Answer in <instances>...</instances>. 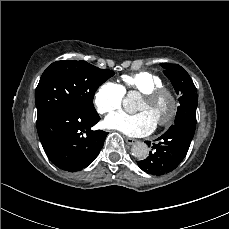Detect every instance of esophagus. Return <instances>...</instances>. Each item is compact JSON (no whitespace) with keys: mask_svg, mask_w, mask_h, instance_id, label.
<instances>
[{"mask_svg":"<svg viewBox=\"0 0 229 229\" xmlns=\"http://www.w3.org/2000/svg\"><path fill=\"white\" fill-rule=\"evenodd\" d=\"M125 142H126L128 145H133V144L137 143L138 140L135 139V138L127 137V138L125 139Z\"/></svg>","mask_w":229,"mask_h":229,"instance_id":"34e87169","label":"esophagus"}]
</instances>
